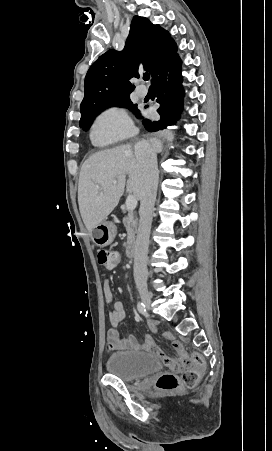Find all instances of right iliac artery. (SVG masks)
Here are the masks:
<instances>
[{
	"label": "right iliac artery",
	"instance_id": "1",
	"mask_svg": "<svg viewBox=\"0 0 272 451\" xmlns=\"http://www.w3.org/2000/svg\"><path fill=\"white\" fill-rule=\"evenodd\" d=\"M137 309H138V311H139L140 313H142V314H144V313L146 312L145 305H144V303H142V302H139V303L137 304Z\"/></svg>",
	"mask_w": 272,
	"mask_h": 451
}]
</instances>
